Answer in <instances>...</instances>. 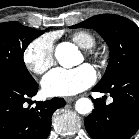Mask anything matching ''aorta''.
I'll list each match as a JSON object with an SVG mask.
<instances>
[{"mask_svg":"<svg viewBox=\"0 0 139 139\" xmlns=\"http://www.w3.org/2000/svg\"><path fill=\"white\" fill-rule=\"evenodd\" d=\"M77 54V47L68 42L58 44L55 50L56 59L65 68H71L76 65L75 58ZM75 109L79 114L86 115L92 112L93 103L89 98H80L75 103Z\"/></svg>","mask_w":139,"mask_h":139,"instance_id":"762f6f07","label":"aorta"}]
</instances>
